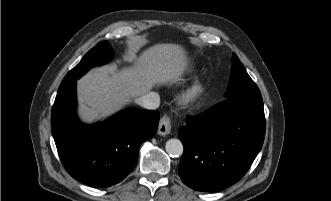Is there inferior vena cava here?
Returning <instances> with one entry per match:
<instances>
[{
    "label": "inferior vena cava",
    "instance_id": "1",
    "mask_svg": "<svg viewBox=\"0 0 331 201\" xmlns=\"http://www.w3.org/2000/svg\"><path fill=\"white\" fill-rule=\"evenodd\" d=\"M137 102L146 109H157L160 105V96L156 92H148L139 97Z\"/></svg>",
    "mask_w": 331,
    "mask_h": 201
}]
</instances>
